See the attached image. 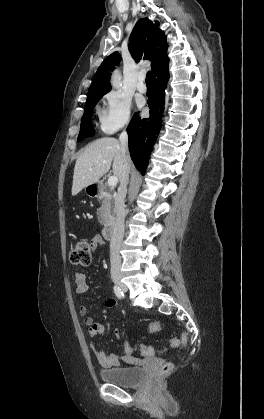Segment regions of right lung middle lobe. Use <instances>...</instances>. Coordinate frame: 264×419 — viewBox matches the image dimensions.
<instances>
[{"instance_id": "1", "label": "right lung middle lobe", "mask_w": 264, "mask_h": 419, "mask_svg": "<svg viewBox=\"0 0 264 419\" xmlns=\"http://www.w3.org/2000/svg\"><path fill=\"white\" fill-rule=\"evenodd\" d=\"M103 95H96L93 96L91 98H88L86 103H85V108H84V114L82 117V121H81V127H80V133L78 136V142L81 141L82 139H84L85 137L88 136H93L94 134V128L92 125V113H93V109L96 105V103L98 102V100L102 97Z\"/></svg>"}]
</instances>
